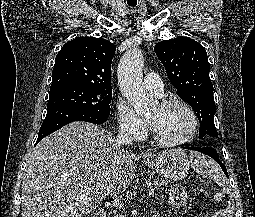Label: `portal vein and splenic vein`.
Wrapping results in <instances>:
<instances>
[{
  "label": "portal vein and splenic vein",
  "instance_id": "18ae733b",
  "mask_svg": "<svg viewBox=\"0 0 255 217\" xmlns=\"http://www.w3.org/2000/svg\"><path fill=\"white\" fill-rule=\"evenodd\" d=\"M153 195H154V189L151 188V189L149 190V197H152Z\"/></svg>",
  "mask_w": 255,
  "mask_h": 217
}]
</instances>
